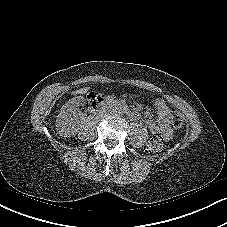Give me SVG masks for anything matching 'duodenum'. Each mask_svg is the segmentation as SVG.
<instances>
[{"mask_svg": "<svg viewBox=\"0 0 227 227\" xmlns=\"http://www.w3.org/2000/svg\"><path fill=\"white\" fill-rule=\"evenodd\" d=\"M87 103L91 107V109L95 112L104 107L105 99L103 98V96L100 93L93 92L88 96ZM127 114L132 119H136L139 116L138 112H136L134 110L127 111Z\"/></svg>", "mask_w": 227, "mask_h": 227, "instance_id": "duodenum-1", "label": "duodenum"}]
</instances>
